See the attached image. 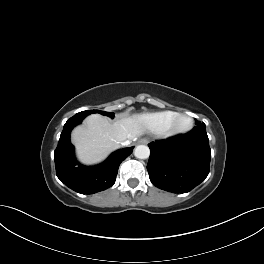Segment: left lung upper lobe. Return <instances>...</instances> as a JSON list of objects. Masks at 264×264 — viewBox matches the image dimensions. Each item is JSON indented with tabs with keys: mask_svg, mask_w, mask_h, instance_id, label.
I'll return each mask as SVG.
<instances>
[{
	"mask_svg": "<svg viewBox=\"0 0 264 264\" xmlns=\"http://www.w3.org/2000/svg\"><path fill=\"white\" fill-rule=\"evenodd\" d=\"M196 124L197 125H205L204 123L201 124L199 121H196Z\"/></svg>",
	"mask_w": 264,
	"mask_h": 264,
	"instance_id": "1",
	"label": "left lung upper lobe"
}]
</instances>
